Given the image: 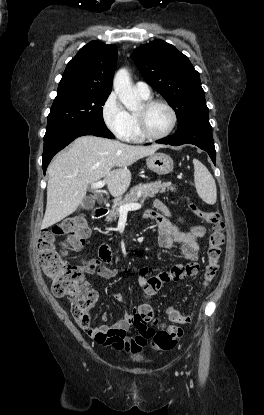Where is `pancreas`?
I'll return each mask as SVG.
<instances>
[{
	"label": "pancreas",
	"mask_w": 264,
	"mask_h": 415,
	"mask_svg": "<svg viewBox=\"0 0 264 415\" xmlns=\"http://www.w3.org/2000/svg\"><path fill=\"white\" fill-rule=\"evenodd\" d=\"M166 190L175 191V187L172 186L170 182H163L155 181L147 184H140L135 186L130 190L129 193L125 195L122 200L115 202L112 206L111 211L109 212L106 220L108 222H112L116 220L119 216V208L122 205H126L129 203H137L138 200L143 202L147 198H153L158 193H164Z\"/></svg>",
	"instance_id": "pancreas-1"
}]
</instances>
